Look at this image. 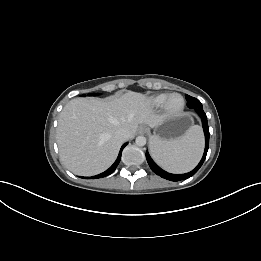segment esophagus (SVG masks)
Returning <instances> with one entry per match:
<instances>
[{
	"instance_id": "1",
	"label": "esophagus",
	"mask_w": 261,
	"mask_h": 261,
	"mask_svg": "<svg viewBox=\"0 0 261 261\" xmlns=\"http://www.w3.org/2000/svg\"><path fill=\"white\" fill-rule=\"evenodd\" d=\"M145 130H146L145 127H141V128H140V132H144Z\"/></svg>"
}]
</instances>
